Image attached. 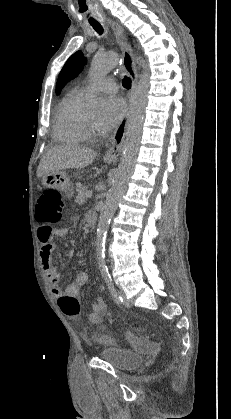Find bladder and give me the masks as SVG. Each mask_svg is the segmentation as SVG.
Instances as JSON below:
<instances>
[{"instance_id":"bladder-1","label":"bladder","mask_w":231,"mask_h":419,"mask_svg":"<svg viewBox=\"0 0 231 419\" xmlns=\"http://www.w3.org/2000/svg\"><path fill=\"white\" fill-rule=\"evenodd\" d=\"M99 357L120 371L136 368L144 361V356L136 352L114 346L102 347L99 351Z\"/></svg>"}]
</instances>
